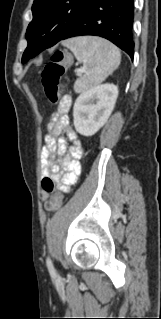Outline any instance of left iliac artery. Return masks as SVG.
<instances>
[{
    "label": "left iliac artery",
    "instance_id": "1",
    "mask_svg": "<svg viewBox=\"0 0 161 319\" xmlns=\"http://www.w3.org/2000/svg\"><path fill=\"white\" fill-rule=\"evenodd\" d=\"M46 263H47V267H48V270H49L50 274L55 275L56 274L55 273V269H54V266H53V264H52V262H51L49 257H47Z\"/></svg>",
    "mask_w": 161,
    "mask_h": 319
}]
</instances>
